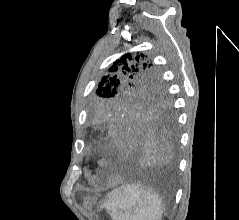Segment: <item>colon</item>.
Returning <instances> with one entry per match:
<instances>
[{
	"instance_id": "5ec220e1",
	"label": "colon",
	"mask_w": 239,
	"mask_h": 220,
	"mask_svg": "<svg viewBox=\"0 0 239 220\" xmlns=\"http://www.w3.org/2000/svg\"><path fill=\"white\" fill-rule=\"evenodd\" d=\"M109 91H110L109 89H104V91L102 93L105 96V95H107L109 93Z\"/></svg>"
}]
</instances>
